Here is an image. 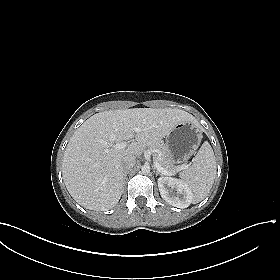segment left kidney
<instances>
[{"label": "left kidney", "instance_id": "1", "mask_svg": "<svg viewBox=\"0 0 280 280\" xmlns=\"http://www.w3.org/2000/svg\"><path fill=\"white\" fill-rule=\"evenodd\" d=\"M158 188L161 197L172 206L187 208L192 202L193 194L182 180L162 176L158 178Z\"/></svg>", "mask_w": 280, "mask_h": 280}]
</instances>
